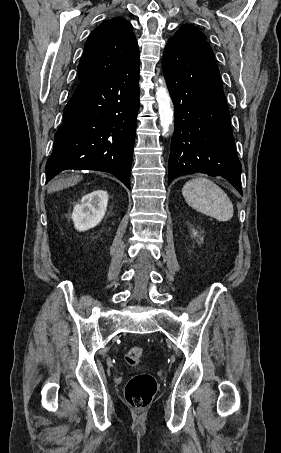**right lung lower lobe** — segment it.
Instances as JSON below:
<instances>
[{"instance_id": "right-lung-lower-lobe-1", "label": "right lung lower lobe", "mask_w": 281, "mask_h": 453, "mask_svg": "<svg viewBox=\"0 0 281 453\" xmlns=\"http://www.w3.org/2000/svg\"><path fill=\"white\" fill-rule=\"evenodd\" d=\"M139 109V55L114 75L79 82L64 108L46 183L66 169L113 174L130 189Z\"/></svg>"}]
</instances>
